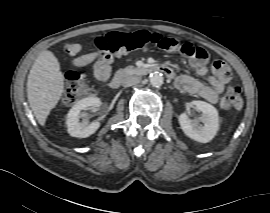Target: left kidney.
I'll use <instances>...</instances> for the list:
<instances>
[{
  "label": "left kidney",
  "mask_w": 270,
  "mask_h": 213,
  "mask_svg": "<svg viewBox=\"0 0 270 213\" xmlns=\"http://www.w3.org/2000/svg\"><path fill=\"white\" fill-rule=\"evenodd\" d=\"M191 105H194L197 110L202 112L204 125L199 126L196 122L192 121L186 113H182L178 119L181 129L189 138L197 142H210L219 129L217 109L204 101H193Z\"/></svg>",
  "instance_id": "5707ae66"
}]
</instances>
